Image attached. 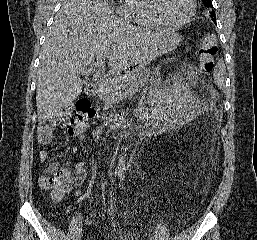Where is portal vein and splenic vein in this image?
<instances>
[{
	"label": "portal vein and splenic vein",
	"instance_id": "18ae733b",
	"mask_svg": "<svg viewBox=\"0 0 257 240\" xmlns=\"http://www.w3.org/2000/svg\"><path fill=\"white\" fill-rule=\"evenodd\" d=\"M108 58V55L107 54H102V55H99L97 58H96V63L94 65H102L104 63V60ZM133 89L132 88H129L128 90H126L125 92L123 93H118L116 98L117 99H122L124 97H127L128 95H131Z\"/></svg>",
	"mask_w": 257,
	"mask_h": 240
}]
</instances>
